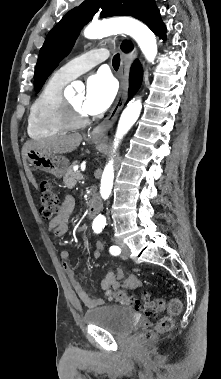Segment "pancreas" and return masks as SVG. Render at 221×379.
<instances>
[{
  "label": "pancreas",
  "instance_id": "obj_1",
  "mask_svg": "<svg viewBox=\"0 0 221 379\" xmlns=\"http://www.w3.org/2000/svg\"><path fill=\"white\" fill-rule=\"evenodd\" d=\"M75 164L76 163H74L73 165ZM73 165L67 169V172L63 178L64 184L68 188H73L76 185L77 181L82 177L79 171L73 170Z\"/></svg>",
  "mask_w": 221,
  "mask_h": 379
}]
</instances>
